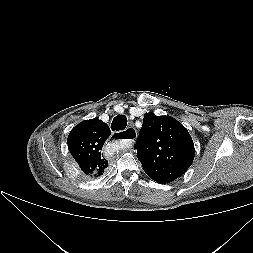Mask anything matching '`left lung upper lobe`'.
I'll use <instances>...</instances> for the list:
<instances>
[{
    "instance_id": "1",
    "label": "left lung upper lobe",
    "mask_w": 253,
    "mask_h": 253,
    "mask_svg": "<svg viewBox=\"0 0 253 253\" xmlns=\"http://www.w3.org/2000/svg\"><path fill=\"white\" fill-rule=\"evenodd\" d=\"M135 148L146 174L161 184L182 176L195 155L187 129L171 116H156L152 112L144 115Z\"/></svg>"
}]
</instances>
